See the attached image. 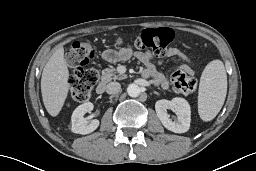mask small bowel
Listing matches in <instances>:
<instances>
[{
  "label": "small bowel",
  "instance_id": "small-bowel-1",
  "mask_svg": "<svg viewBox=\"0 0 256 171\" xmlns=\"http://www.w3.org/2000/svg\"><path fill=\"white\" fill-rule=\"evenodd\" d=\"M132 55V50L130 48H122L118 51L115 50H105L102 52L101 56L104 60L109 62H116L119 60H126ZM138 57L147 65L144 71V75L148 78L153 79V81L162 87H167V79L165 75L158 72L153 65V57L149 53H139ZM167 57H177L184 60L186 63L184 69L191 73L193 70V64L190 58L181 50L171 47L168 49Z\"/></svg>",
  "mask_w": 256,
  "mask_h": 171
}]
</instances>
